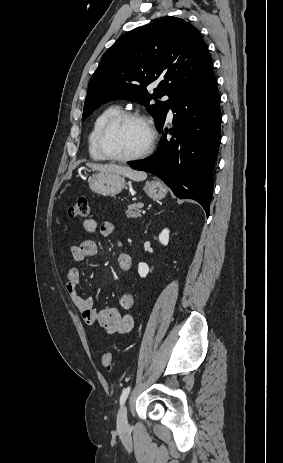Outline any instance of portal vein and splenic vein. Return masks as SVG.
<instances>
[{"label": "portal vein and splenic vein", "instance_id": "obj_1", "mask_svg": "<svg viewBox=\"0 0 283 463\" xmlns=\"http://www.w3.org/2000/svg\"><path fill=\"white\" fill-rule=\"evenodd\" d=\"M142 213H143V214H145V213H146V211H145V210H143V212H142Z\"/></svg>", "mask_w": 283, "mask_h": 463}]
</instances>
